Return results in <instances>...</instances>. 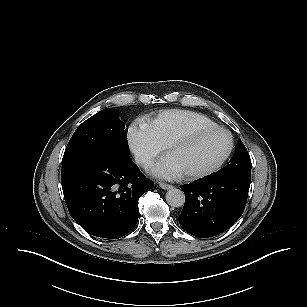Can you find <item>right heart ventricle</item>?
Listing matches in <instances>:
<instances>
[{
    "instance_id": "obj_1",
    "label": "right heart ventricle",
    "mask_w": 307,
    "mask_h": 307,
    "mask_svg": "<svg viewBox=\"0 0 307 307\" xmlns=\"http://www.w3.org/2000/svg\"><path fill=\"white\" fill-rule=\"evenodd\" d=\"M144 125L163 148L192 130L217 126L204 114L182 109L162 111Z\"/></svg>"
}]
</instances>
